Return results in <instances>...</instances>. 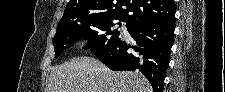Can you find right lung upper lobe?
Masks as SVG:
<instances>
[{
  "label": "right lung upper lobe",
  "mask_w": 225,
  "mask_h": 92,
  "mask_svg": "<svg viewBox=\"0 0 225 92\" xmlns=\"http://www.w3.org/2000/svg\"><path fill=\"white\" fill-rule=\"evenodd\" d=\"M173 16L174 0H70L57 29L70 27L80 20L112 22L120 19L132 27L143 21L168 20Z\"/></svg>",
  "instance_id": "1"
}]
</instances>
